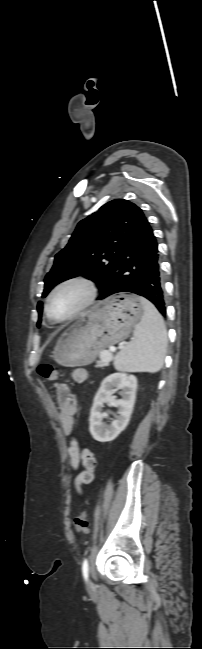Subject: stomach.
<instances>
[{
    "instance_id": "stomach-1",
    "label": "stomach",
    "mask_w": 202,
    "mask_h": 649,
    "mask_svg": "<svg viewBox=\"0 0 202 649\" xmlns=\"http://www.w3.org/2000/svg\"><path fill=\"white\" fill-rule=\"evenodd\" d=\"M143 313L136 295L118 294L100 301L59 337L51 357L63 366L87 365L100 351L125 339Z\"/></svg>"
}]
</instances>
